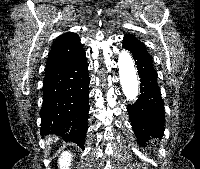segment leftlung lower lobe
<instances>
[{
	"instance_id": "obj_1",
	"label": "left lung lower lobe",
	"mask_w": 200,
	"mask_h": 169,
	"mask_svg": "<svg viewBox=\"0 0 200 169\" xmlns=\"http://www.w3.org/2000/svg\"><path fill=\"white\" fill-rule=\"evenodd\" d=\"M123 47L133 55L140 77L141 95L137 102L128 105L127 109L137 142L145 144L149 139L164 133V103L157 84V72L148 52L134 49L125 39Z\"/></svg>"
}]
</instances>
